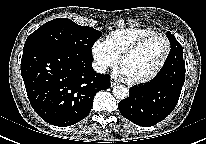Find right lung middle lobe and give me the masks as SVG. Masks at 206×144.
I'll list each match as a JSON object with an SVG mask.
<instances>
[{
	"label": "right lung middle lobe",
	"instance_id": "dd1d6c3e",
	"mask_svg": "<svg viewBox=\"0 0 206 144\" xmlns=\"http://www.w3.org/2000/svg\"><path fill=\"white\" fill-rule=\"evenodd\" d=\"M101 34L92 27L78 25L70 19H53L28 36L23 50L37 46L55 47L93 58L91 48Z\"/></svg>",
	"mask_w": 206,
	"mask_h": 144
}]
</instances>
